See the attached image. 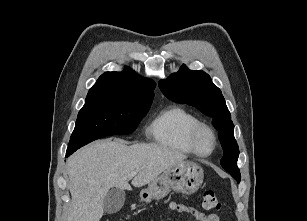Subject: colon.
<instances>
[{"label":"colon","instance_id":"1","mask_svg":"<svg viewBox=\"0 0 307 221\" xmlns=\"http://www.w3.org/2000/svg\"><path fill=\"white\" fill-rule=\"evenodd\" d=\"M202 203L205 209L219 210L221 203L213 191L205 190L202 193Z\"/></svg>","mask_w":307,"mask_h":221}]
</instances>
